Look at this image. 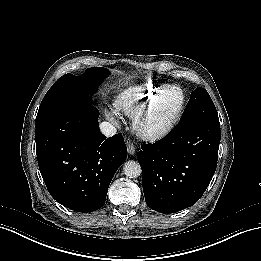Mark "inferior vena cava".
<instances>
[{
	"mask_svg": "<svg viewBox=\"0 0 261 261\" xmlns=\"http://www.w3.org/2000/svg\"><path fill=\"white\" fill-rule=\"evenodd\" d=\"M99 128H100V132L106 137H111L115 135L117 132L115 126H113L109 122L100 123Z\"/></svg>",
	"mask_w": 261,
	"mask_h": 261,
	"instance_id": "inferior-vena-cava-1",
	"label": "inferior vena cava"
}]
</instances>
